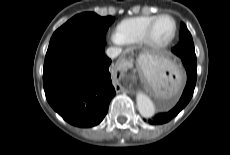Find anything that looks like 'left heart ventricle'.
Masks as SVG:
<instances>
[{"label":"left heart ventricle","instance_id":"b2bd125f","mask_svg":"<svg viewBox=\"0 0 230 155\" xmlns=\"http://www.w3.org/2000/svg\"><path fill=\"white\" fill-rule=\"evenodd\" d=\"M173 31V22L169 18H163L157 22L153 30V38L162 42L167 40Z\"/></svg>","mask_w":230,"mask_h":155}]
</instances>
